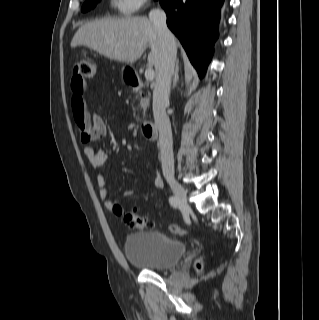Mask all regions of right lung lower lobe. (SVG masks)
Masks as SVG:
<instances>
[{
  "label": "right lung lower lobe",
  "mask_w": 319,
  "mask_h": 320,
  "mask_svg": "<svg viewBox=\"0 0 319 320\" xmlns=\"http://www.w3.org/2000/svg\"><path fill=\"white\" fill-rule=\"evenodd\" d=\"M160 4L167 14L168 27L202 77L218 37L223 0H160Z\"/></svg>",
  "instance_id": "right-lung-lower-lobe-1"
}]
</instances>
